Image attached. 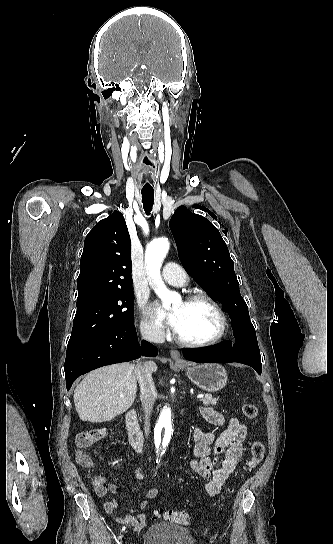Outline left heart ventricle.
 Segmentation results:
<instances>
[{
  "label": "left heart ventricle",
  "instance_id": "obj_1",
  "mask_svg": "<svg viewBox=\"0 0 333 544\" xmlns=\"http://www.w3.org/2000/svg\"><path fill=\"white\" fill-rule=\"evenodd\" d=\"M174 311L179 313L176 332L186 340L205 341L219 329V317L207 302H181L174 307Z\"/></svg>",
  "mask_w": 333,
  "mask_h": 544
}]
</instances>
